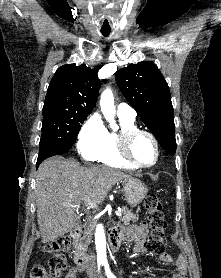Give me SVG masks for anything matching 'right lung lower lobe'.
Masks as SVG:
<instances>
[{
    "instance_id": "98d812e1",
    "label": "right lung lower lobe",
    "mask_w": 221,
    "mask_h": 278,
    "mask_svg": "<svg viewBox=\"0 0 221 278\" xmlns=\"http://www.w3.org/2000/svg\"><path fill=\"white\" fill-rule=\"evenodd\" d=\"M72 146H67V147H64V148H61V149H57V150H54V151H51L49 153H46V154H43L41 156H38V160H37V163H36V168H38V166L40 165V163L45 160L46 158L48 157H51V156H54V155H60V154H63L65 152H67Z\"/></svg>"
}]
</instances>
